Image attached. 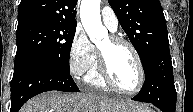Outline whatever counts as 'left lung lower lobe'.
<instances>
[{"instance_id": "obj_1", "label": "left lung lower lobe", "mask_w": 193, "mask_h": 112, "mask_svg": "<svg viewBox=\"0 0 193 112\" xmlns=\"http://www.w3.org/2000/svg\"><path fill=\"white\" fill-rule=\"evenodd\" d=\"M144 72V84L132 100L152 103L163 112H175L176 90L169 46L153 58Z\"/></svg>"}]
</instances>
